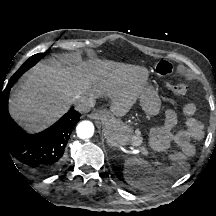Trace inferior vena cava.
<instances>
[{
  "label": "inferior vena cava",
  "instance_id": "inferior-vena-cava-1",
  "mask_svg": "<svg viewBox=\"0 0 216 216\" xmlns=\"http://www.w3.org/2000/svg\"><path fill=\"white\" fill-rule=\"evenodd\" d=\"M75 110L80 113L89 112L94 106L93 98H88L86 96H77L73 102Z\"/></svg>",
  "mask_w": 216,
  "mask_h": 216
}]
</instances>
